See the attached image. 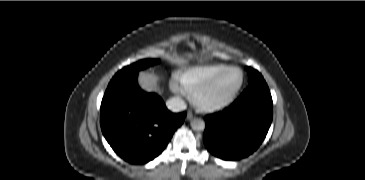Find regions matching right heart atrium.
<instances>
[{
    "label": "right heart atrium",
    "instance_id": "1",
    "mask_svg": "<svg viewBox=\"0 0 365 180\" xmlns=\"http://www.w3.org/2000/svg\"><path fill=\"white\" fill-rule=\"evenodd\" d=\"M173 91L176 93H181V90L179 89V87L177 85H173Z\"/></svg>",
    "mask_w": 365,
    "mask_h": 180
}]
</instances>
